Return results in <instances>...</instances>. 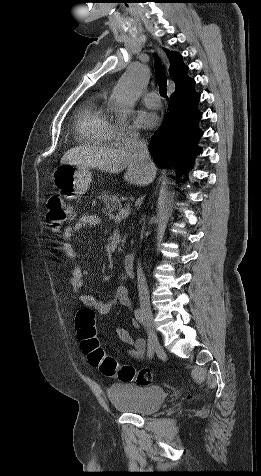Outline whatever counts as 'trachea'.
Listing matches in <instances>:
<instances>
[{"label": "trachea", "instance_id": "1", "mask_svg": "<svg viewBox=\"0 0 261 476\" xmlns=\"http://www.w3.org/2000/svg\"><path fill=\"white\" fill-rule=\"evenodd\" d=\"M155 72L156 80L159 85V93L162 97H167V77L162 62L158 56H156L155 61Z\"/></svg>", "mask_w": 261, "mask_h": 476}]
</instances>
